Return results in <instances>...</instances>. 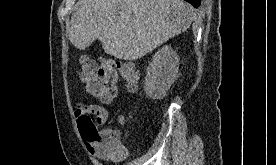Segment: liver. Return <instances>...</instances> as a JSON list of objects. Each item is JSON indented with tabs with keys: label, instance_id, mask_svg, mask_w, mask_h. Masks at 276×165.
<instances>
[{
	"label": "liver",
	"instance_id": "liver-1",
	"mask_svg": "<svg viewBox=\"0 0 276 165\" xmlns=\"http://www.w3.org/2000/svg\"><path fill=\"white\" fill-rule=\"evenodd\" d=\"M195 19L183 0H84L71 17L68 37L80 50L98 39L106 54L137 60L187 31Z\"/></svg>",
	"mask_w": 276,
	"mask_h": 165
}]
</instances>
